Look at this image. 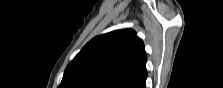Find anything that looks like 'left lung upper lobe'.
Masks as SVG:
<instances>
[{"mask_svg": "<svg viewBox=\"0 0 223 88\" xmlns=\"http://www.w3.org/2000/svg\"><path fill=\"white\" fill-rule=\"evenodd\" d=\"M143 41L130 29L93 38L66 67L59 88H137L146 80Z\"/></svg>", "mask_w": 223, "mask_h": 88, "instance_id": "5c2ea615", "label": "left lung upper lobe"}]
</instances>
